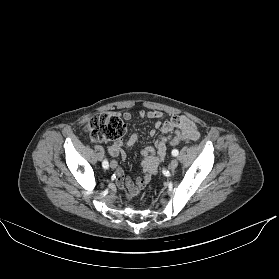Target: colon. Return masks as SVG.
Segmentation results:
<instances>
[{
    "mask_svg": "<svg viewBox=\"0 0 279 279\" xmlns=\"http://www.w3.org/2000/svg\"><path fill=\"white\" fill-rule=\"evenodd\" d=\"M125 130V125L118 116L106 112L93 115L85 126V131L94 142L118 140L125 134ZM187 142L190 140L180 136H175L169 141L171 145Z\"/></svg>",
    "mask_w": 279,
    "mask_h": 279,
    "instance_id": "obj_1",
    "label": "colon"
}]
</instances>
